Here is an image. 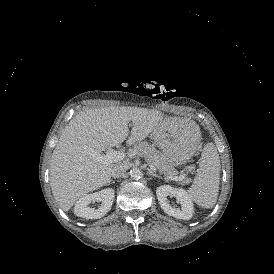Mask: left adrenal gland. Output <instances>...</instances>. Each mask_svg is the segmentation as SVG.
<instances>
[{
    "mask_svg": "<svg viewBox=\"0 0 274 274\" xmlns=\"http://www.w3.org/2000/svg\"><path fill=\"white\" fill-rule=\"evenodd\" d=\"M147 174H149L150 176H154V177H157V178H160V179H163L162 176L156 174L155 172H153L151 169H148V172Z\"/></svg>",
    "mask_w": 274,
    "mask_h": 274,
    "instance_id": "left-adrenal-gland-1",
    "label": "left adrenal gland"
}]
</instances>
